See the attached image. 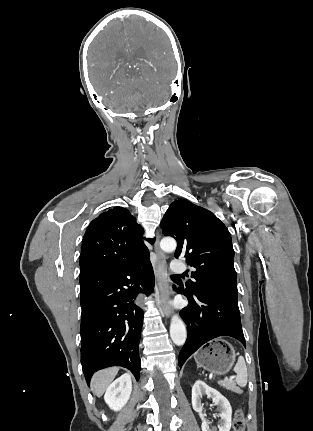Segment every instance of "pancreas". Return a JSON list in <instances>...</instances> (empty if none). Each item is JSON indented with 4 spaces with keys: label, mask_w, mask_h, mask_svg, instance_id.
<instances>
[{
    "label": "pancreas",
    "mask_w": 313,
    "mask_h": 431,
    "mask_svg": "<svg viewBox=\"0 0 313 431\" xmlns=\"http://www.w3.org/2000/svg\"><path fill=\"white\" fill-rule=\"evenodd\" d=\"M223 387L226 388L227 390H231L233 392L240 393V390L235 386V384L233 382L224 383Z\"/></svg>",
    "instance_id": "obj_1"
}]
</instances>
